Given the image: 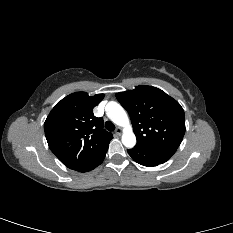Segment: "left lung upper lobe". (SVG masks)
I'll use <instances>...</instances> for the list:
<instances>
[{"mask_svg": "<svg viewBox=\"0 0 233 233\" xmlns=\"http://www.w3.org/2000/svg\"><path fill=\"white\" fill-rule=\"evenodd\" d=\"M128 111L137 144L177 149L185 133V115L180 104L164 91L146 85L116 94Z\"/></svg>", "mask_w": 233, "mask_h": 233, "instance_id": "left-lung-upper-lobe-1", "label": "left lung upper lobe"}]
</instances>
